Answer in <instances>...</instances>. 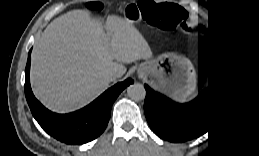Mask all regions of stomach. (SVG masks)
Listing matches in <instances>:
<instances>
[{
    "mask_svg": "<svg viewBox=\"0 0 259 156\" xmlns=\"http://www.w3.org/2000/svg\"><path fill=\"white\" fill-rule=\"evenodd\" d=\"M125 19L134 22L136 17L125 9ZM146 74L154 85L174 99H182L193 89L195 72L190 61L181 55L162 54L146 63Z\"/></svg>",
    "mask_w": 259,
    "mask_h": 156,
    "instance_id": "1",
    "label": "stomach"
}]
</instances>
